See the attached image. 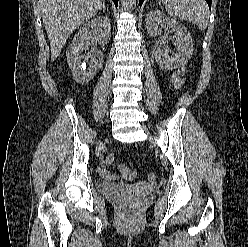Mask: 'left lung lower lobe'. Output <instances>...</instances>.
Masks as SVG:
<instances>
[{"mask_svg":"<svg viewBox=\"0 0 248 247\" xmlns=\"http://www.w3.org/2000/svg\"><path fill=\"white\" fill-rule=\"evenodd\" d=\"M143 1H144V0H139V5H140V7H141ZM211 1H212V0H206V2H207V4H208V6H209L210 9H211Z\"/></svg>","mask_w":248,"mask_h":247,"instance_id":"1","label":"left lung lower lobe"}]
</instances>
